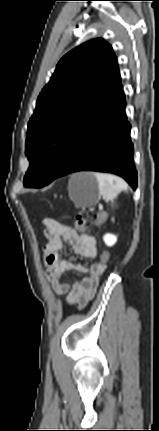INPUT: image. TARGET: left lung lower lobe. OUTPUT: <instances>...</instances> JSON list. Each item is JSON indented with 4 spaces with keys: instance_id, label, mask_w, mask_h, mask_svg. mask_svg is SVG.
<instances>
[{
    "instance_id": "obj_1",
    "label": "left lung lower lobe",
    "mask_w": 159,
    "mask_h": 431,
    "mask_svg": "<svg viewBox=\"0 0 159 431\" xmlns=\"http://www.w3.org/2000/svg\"><path fill=\"white\" fill-rule=\"evenodd\" d=\"M125 106L121 88L110 103L77 133L55 178L78 171L108 172L123 177L136 189L137 171Z\"/></svg>"
}]
</instances>
